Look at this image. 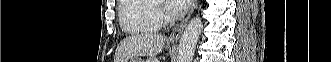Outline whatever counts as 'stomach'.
Returning <instances> with one entry per match:
<instances>
[{"label": "stomach", "mask_w": 331, "mask_h": 62, "mask_svg": "<svg viewBox=\"0 0 331 62\" xmlns=\"http://www.w3.org/2000/svg\"><path fill=\"white\" fill-rule=\"evenodd\" d=\"M128 62H144L141 58L138 57H133Z\"/></svg>", "instance_id": "0dacf381"}]
</instances>
